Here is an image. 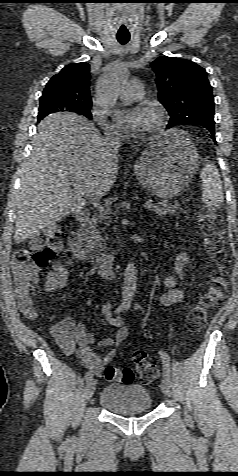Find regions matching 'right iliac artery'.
<instances>
[{"instance_id": "obj_1", "label": "right iliac artery", "mask_w": 238, "mask_h": 476, "mask_svg": "<svg viewBox=\"0 0 238 476\" xmlns=\"http://www.w3.org/2000/svg\"><path fill=\"white\" fill-rule=\"evenodd\" d=\"M124 308H125V307H124L123 305L119 306V307L116 309L115 313H119V312L123 311ZM92 377H93L92 371H88V372L86 373V375H85L86 381L92 379Z\"/></svg>"}]
</instances>
